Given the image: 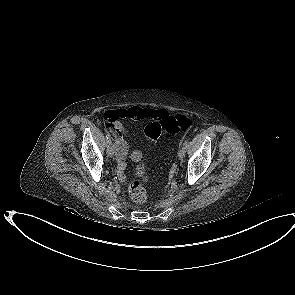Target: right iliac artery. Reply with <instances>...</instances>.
Wrapping results in <instances>:
<instances>
[{
    "label": "right iliac artery",
    "mask_w": 295,
    "mask_h": 295,
    "mask_svg": "<svg viewBox=\"0 0 295 295\" xmlns=\"http://www.w3.org/2000/svg\"><path fill=\"white\" fill-rule=\"evenodd\" d=\"M106 138L109 139L107 142L110 144L111 143V140H110L111 135L109 133L106 134Z\"/></svg>",
    "instance_id": "1"
}]
</instances>
